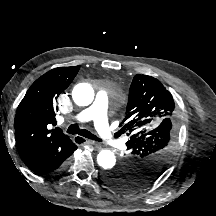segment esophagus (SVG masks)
Segmentation results:
<instances>
[{"label": "esophagus", "mask_w": 216, "mask_h": 216, "mask_svg": "<svg viewBox=\"0 0 216 216\" xmlns=\"http://www.w3.org/2000/svg\"><path fill=\"white\" fill-rule=\"evenodd\" d=\"M74 140H75L76 143H78L79 141H83L82 143H84V144H91V145H94V146H95L96 148H98V149L101 148V146H100L97 142L92 141V140H89V139H85V138H83V137H81V136H75V137H74ZM79 144H80V143H79Z\"/></svg>", "instance_id": "1"}]
</instances>
